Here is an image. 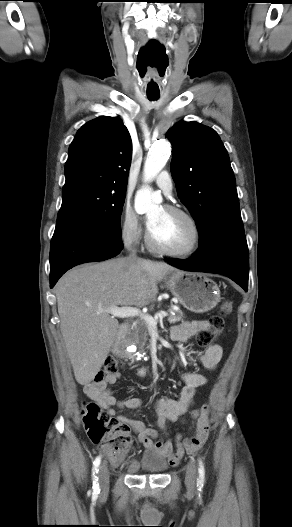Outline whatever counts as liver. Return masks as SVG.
I'll return each mask as SVG.
<instances>
[{"label": "liver", "instance_id": "1", "mask_svg": "<svg viewBox=\"0 0 292 527\" xmlns=\"http://www.w3.org/2000/svg\"><path fill=\"white\" fill-rule=\"evenodd\" d=\"M176 268L143 258H116L85 264L63 275L55 286L60 329L76 381L89 384L114 343L119 323L112 306L143 307L158 294L157 283Z\"/></svg>", "mask_w": 292, "mask_h": 527}]
</instances>
